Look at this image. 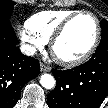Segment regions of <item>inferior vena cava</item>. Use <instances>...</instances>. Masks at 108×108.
Here are the masks:
<instances>
[{"label":"inferior vena cava","instance_id":"obj_1","mask_svg":"<svg viewBox=\"0 0 108 108\" xmlns=\"http://www.w3.org/2000/svg\"><path fill=\"white\" fill-rule=\"evenodd\" d=\"M20 51L26 56H32L35 54L36 48L31 45L23 44L20 47Z\"/></svg>","mask_w":108,"mask_h":108}]
</instances>
